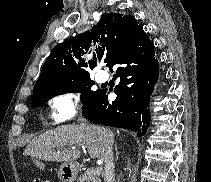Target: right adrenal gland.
I'll return each instance as SVG.
<instances>
[{"mask_svg": "<svg viewBox=\"0 0 211 182\" xmlns=\"http://www.w3.org/2000/svg\"><path fill=\"white\" fill-rule=\"evenodd\" d=\"M115 150H116V156H117V158H118V154H119V152H118V150H117V147L115 146Z\"/></svg>", "mask_w": 211, "mask_h": 182, "instance_id": "1", "label": "right adrenal gland"}]
</instances>
